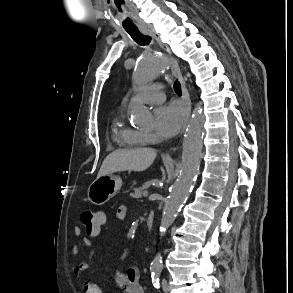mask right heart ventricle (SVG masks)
<instances>
[{"instance_id": "1", "label": "right heart ventricle", "mask_w": 293, "mask_h": 293, "mask_svg": "<svg viewBox=\"0 0 293 293\" xmlns=\"http://www.w3.org/2000/svg\"><path fill=\"white\" fill-rule=\"evenodd\" d=\"M113 136L123 146L130 148L140 147L147 143L141 132L125 127L120 118H117L113 124Z\"/></svg>"}]
</instances>
